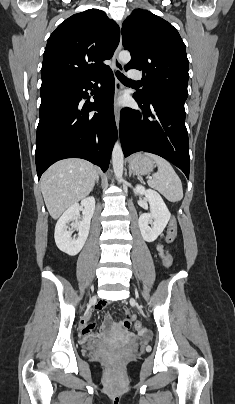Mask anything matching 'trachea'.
<instances>
[{
    "label": "trachea",
    "instance_id": "obj_1",
    "mask_svg": "<svg viewBox=\"0 0 235 404\" xmlns=\"http://www.w3.org/2000/svg\"><path fill=\"white\" fill-rule=\"evenodd\" d=\"M116 76L122 83H137L134 80L128 79L126 76H124L120 71H116Z\"/></svg>",
    "mask_w": 235,
    "mask_h": 404
}]
</instances>
